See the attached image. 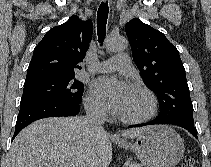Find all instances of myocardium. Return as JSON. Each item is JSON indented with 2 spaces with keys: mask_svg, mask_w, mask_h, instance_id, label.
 I'll list each match as a JSON object with an SVG mask.
<instances>
[{
  "mask_svg": "<svg viewBox=\"0 0 211 167\" xmlns=\"http://www.w3.org/2000/svg\"><path fill=\"white\" fill-rule=\"evenodd\" d=\"M133 91L138 92L146 96L149 102V111L145 116L138 118H130L122 115H118V118L127 124H142L150 121L157 112V99L155 94L147 87L143 85H134L132 88Z\"/></svg>",
  "mask_w": 211,
  "mask_h": 167,
  "instance_id": "myocardium-1",
  "label": "myocardium"
}]
</instances>
